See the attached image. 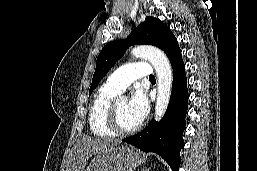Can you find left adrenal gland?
<instances>
[{"label":"left adrenal gland","instance_id":"1","mask_svg":"<svg viewBox=\"0 0 257 171\" xmlns=\"http://www.w3.org/2000/svg\"><path fill=\"white\" fill-rule=\"evenodd\" d=\"M141 171H149V169H145V168H143Z\"/></svg>","mask_w":257,"mask_h":171}]
</instances>
